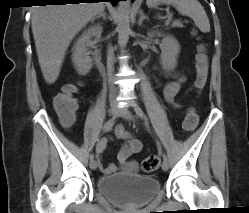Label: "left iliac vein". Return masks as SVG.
<instances>
[{
  "mask_svg": "<svg viewBox=\"0 0 249 213\" xmlns=\"http://www.w3.org/2000/svg\"><path fill=\"white\" fill-rule=\"evenodd\" d=\"M119 112H120V116L126 120H133L134 119L133 114L126 107H122ZM168 168H169L168 160H163L162 170L167 171Z\"/></svg>",
  "mask_w": 249,
  "mask_h": 213,
  "instance_id": "left-iliac-vein-1",
  "label": "left iliac vein"
}]
</instances>
